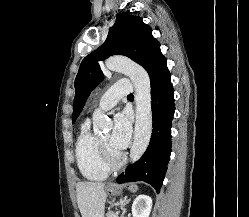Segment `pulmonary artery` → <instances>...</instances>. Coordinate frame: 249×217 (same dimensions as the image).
<instances>
[{
    "label": "pulmonary artery",
    "mask_w": 249,
    "mask_h": 217,
    "mask_svg": "<svg viewBox=\"0 0 249 217\" xmlns=\"http://www.w3.org/2000/svg\"><path fill=\"white\" fill-rule=\"evenodd\" d=\"M133 91V85L129 80L118 81L100 97L98 107L104 111L109 110L113 108L121 98L130 95Z\"/></svg>",
    "instance_id": "obj_1"
}]
</instances>
